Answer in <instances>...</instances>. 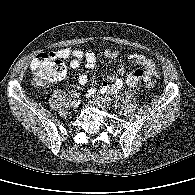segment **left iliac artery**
<instances>
[{
	"mask_svg": "<svg viewBox=\"0 0 195 195\" xmlns=\"http://www.w3.org/2000/svg\"><path fill=\"white\" fill-rule=\"evenodd\" d=\"M105 101H107L108 103H110L111 102V98L107 97V98H105Z\"/></svg>",
	"mask_w": 195,
	"mask_h": 195,
	"instance_id": "obj_1",
	"label": "left iliac artery"
}]
</instances>
